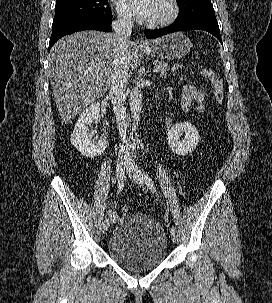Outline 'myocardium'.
I'll return each instance as SVG.
<instances>
[{
	"mask_svg": "<svg viewBox=\"0 0 272 303\" xmlns=\"http://www.w3.org/2000/svg\"><path fill=\"white\" fill-rule=\"evenodd\" d=\"M166 2L169 5V12L168 14L157 21H149L148 26L149 27H165L170 24H172L179 15V5L177 0H166Z\"/></svg>",
	"mask_w": 272,
	"mask_h": 303,
	"instance_id": "myocardium-1",
	"label": "myocardium"
}]
</instances>
